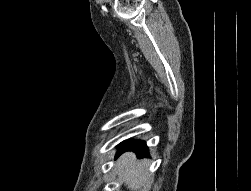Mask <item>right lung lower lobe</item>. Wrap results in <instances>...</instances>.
<instances>
[{"label":"right lung lower lobe","instance_id":"1","mask_svg":"<svg viewBox=\"0 0 251 191\" xmlns=\"http://www.w3.org/2000/svg\"><path fill=\"white\" fill-rule=\"evenodd\" d=\"M125 151L135 152L138 158L149 156L148 148L144 141H124L118 146V153L116 154L115 159Z\"/></svg>","mask_w":251,"mask_h":191}]
</instances>
